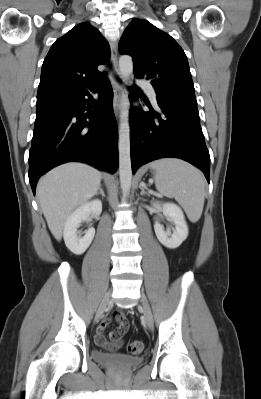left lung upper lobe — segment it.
I'll list each match as a JSON object with an SVG mask.
<instances>
[{
    "instance_id": "left-lung-upper-lobe-1",
    "label": "left lung upper lobe",
    "mask_w": 261,
    "mask_h": 399,
    "mask_svg": "<svg viewBox=\"0 0 261 399\" xmlns=\"http://www.w3.org/2000/svg\"><path fill=\"white\" fill-rule=\"evenodd\" d=\"M119 51L132 56L135 76L150 80L158 98L196 101L187 57L169 34L135 19L125 29Z\"/></svg>"
}]
</instances>
